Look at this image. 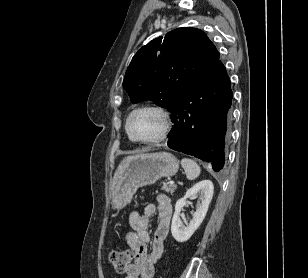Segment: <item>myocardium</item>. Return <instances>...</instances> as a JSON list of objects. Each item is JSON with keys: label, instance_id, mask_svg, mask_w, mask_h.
Wrapping results in <instances>:
<instances>
[{"label": "myocardium", "instance_id": "obj_1", "mask_svg": "<svg viewBox=\"0 0 308 278\" xmlns=\"http://www.w3.org/2000/svg\"><path fill=\"white\" fill-rule=\"evenodd\" d=\"M142 110L155 111L161 116V118L163 120V128H162L160 134L158 136L152 138V139H141V138L137 137L136 135H134V133L131 130L130 123H131L132 117L137 112L142 111ZM125 127H126V131L129 135V137L132 140H134L135 142L142 143V144H154V143H158V142L163 141L167 137V135L169 134L171 127H172V121H171V117H170L168 111L165 108H163L159 105H156V104H145V105H141V106L136 107L134 110H132L129 113V115L126 119Z\"/></svg>", "mask_w": 308, "mask_h": 278}]
</instances>
